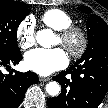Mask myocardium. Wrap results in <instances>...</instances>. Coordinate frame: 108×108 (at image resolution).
<instances>
[{"label":"myocardium","mask_w":108,"mask_h":108,"mask_svg":"<svg viewBox=\"0 0 108 108\" xmlns=\"http://www.w3.org/2000/svg\"><path fill=\"white\" fill-rule=\"evenodd\" d=\"M60 44L70 56L78 58L84 54L88 46V36L84 29L78 26H69L58 33Z\"/></svg>","instance_id":"1"}]
</instances>
